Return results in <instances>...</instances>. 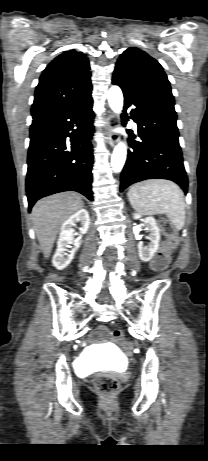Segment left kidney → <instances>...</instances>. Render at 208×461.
<instances>
[{
  "label": "left kidney",
  "instance_id": "obj_1",
  "mask_svg": "<svg viewBox=\"0 0 208 461\" xmlns=\"http://www.w3.org/2000/svg\"><path fill=\"white\" fill-rule=\"evenodd\" d=\"M141 217H142L141 214H138V213L133 214V218L135 220ZM143 221L145 223L146 230H148V232L150 233L148 237V239L150 240V243L148 247H144L141 242L138 243V252H139L140 259L144 262H148L152 259L155 252L159 248L160 230L157 226V223L154 217L152 216L145 217Z\"/></svg>",
  "mask_w": 208,
  "mask_h": 461
}]
</instances>
